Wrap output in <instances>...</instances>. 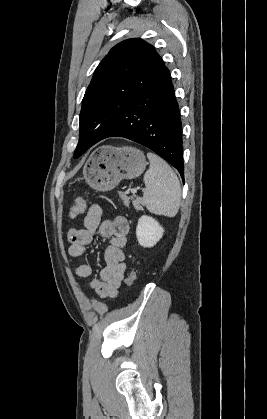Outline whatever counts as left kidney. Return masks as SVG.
Returning <instances> with one entry per match:
<instances>
[{"label":"left kidney","instance_id":"left-kidney-1","mask_svg":"<svg viewBox=\"0 0 267 419\" xmlns=\"http://www.w3.org/2000/svg\"><path fill=\"white\" fill-rule=\"evenodd\" d=\"M163 228L151 216L143 215L138 220L136 236L143 247H153L163 236Z\"/></svg>","mask_w":267,"mask_h":419}]
</instances>
